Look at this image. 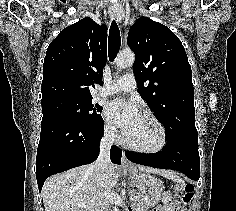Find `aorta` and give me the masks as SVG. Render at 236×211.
Returning a JSON list of instances; mask_svg holds the SVG:
<instances>
[{"label":"aorta","instance_id":"aorta-1","mask_svg":"<svg viewBox=\"0 0 236 211\" xmlns=\"http://www.w3.org/2000/svg\"><path fill=\"white\" fill-rule=\"evenodd\" d=\"M135 61V55L133 52H121L116 57V65L119 68H127L133 65ZM114 211H119L118 207H114Z\"/></svg>","mask_w":236,"mask_h":211}]
</instances>
